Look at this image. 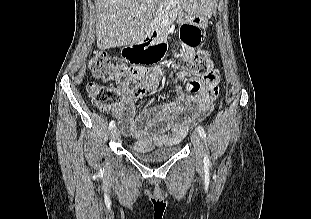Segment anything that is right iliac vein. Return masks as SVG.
<instances>
[{
  "label": "right iliac vein",
  "mask_w": 311,
  "mask_h": 219,
  "mask_svg": "<svg viewBox=\"0 0 311 219\" xmlns=\"http://www.w3.org/2000/svg\"><path fill=\"white\" fill-rule=\"evenodd\" d=\"M119 135H120L119 129L117 127H114L111 130V137H112V139L113 140H118L119 139Z\"/></svg>",
  "instance_id": "63e3f726"
}]
</instances>
